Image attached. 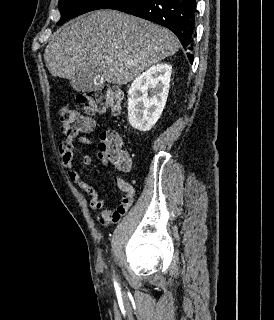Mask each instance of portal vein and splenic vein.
<instances>
[{
    "label": "portal vein and splenic vein",
    "instance_id": "obj_1",
    "mask_svg": "<svg viewBox=\"0 0 274 320\" xmlns=\"http://www.w3.org/2000/svg\"><path fill=\"white\" fill-rule=\"evenodd\" d=\"M106 62H113V60H111V58H106Z\"/></svg>",
    "mask_w": 274,
    "mask_h": 320
}]
</instances>
